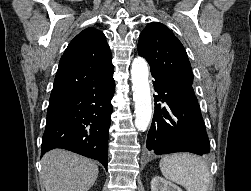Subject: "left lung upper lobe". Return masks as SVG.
I'll return each mask as SVG.
<instances>
[{"instance_id": "left-lung-upper-lobe-1", "label": "left lung upper lobe", "mask_w": 251, "mask_h": 191, "mask_svg": "<svg viewBox=\"0 0 251 191\" xmlns=\"http://www.w3.org/2000/svg\"><path fill=\"white\" fill-rule=\"evenodd\" d=\"M139 55L151 70L179 84L193 85V73L185 48L163 24H148L139 36Z\"/></svg>"}]
</instances>
